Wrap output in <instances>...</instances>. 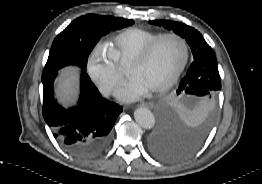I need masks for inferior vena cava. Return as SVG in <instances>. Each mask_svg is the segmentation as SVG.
Instances as JSON below:
<instances>
[{
    "mask_svg": "<svg viewBox=\"0 0 262 184\" xmlns=\"http://www.w3.org/2000/svg\"><path fill=\"white\" fill-rule=\"evenodd\" d=\"M112 91V87L110 85H105L101 87V92L103 95L107 96Z\"/></svg>",
    "mask_w": 262,
    "mask_h": 184,
    "instance_id": "obj_1",
    "label": "inferior vena cava"
}]
</instances>
